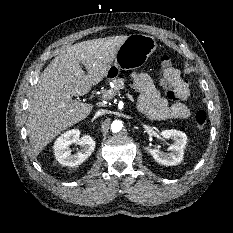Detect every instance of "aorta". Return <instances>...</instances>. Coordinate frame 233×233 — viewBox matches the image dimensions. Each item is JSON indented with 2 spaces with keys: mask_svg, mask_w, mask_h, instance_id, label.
<instances>
[{
  "mask_svg": "<svg viewBox=\"0 0 233 233\" xmlns=\"http://www.w3.org/2000/svg\"><path fill=\"white\" fill-rule=\"evenodd\" d=\"M123 127V123L120 120H114L111 124V130L114 133L119 132Z\"/></svg>",
  "mask_w": 233,
  "mask_h": 233,
  "instance_id": "762f6f07",
  "label": "aorta"
}]
</instances>
